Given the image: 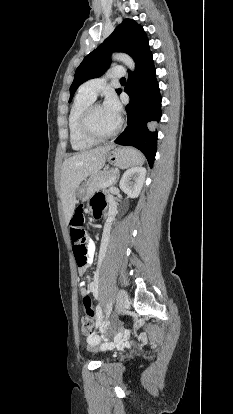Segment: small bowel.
Wrapping results in <instances>:
<instances>
[{
    "mask_svg": "<svg viewBox=\"0 0 233 414\" xmlns=\"http://www.w3.org/2000/svg\"><path fill=\"white\" fill-rule=\"evenodd\" d=\"M103 203H104V198L102 194H96L93 196V198L91 199V207L95 214L97 212L101 213L102 208H103ZM109 207H110L109 216L111 218L115 213V205L113 201L111 200H109ZM94 255H95V246L92 242H88L87 243V256H88L87 263L84 266H78V271L81 275H83L88 269V267L92 264L94 260ZM98 273L99 271L97 270L95 272V275L92 281L89 284L85 282L80 283V290L84 295L91 293L95 298H98ZM97 310H102V305H97ZM95 339H96V335L94 333L90 334L88 337L89 341H94Z\"/></svg>",
    "mask_w": 233,
    "mask_h": 414,
    "instance_id": "obj_1",
    "label": "small bowel"
}]
</instances>
